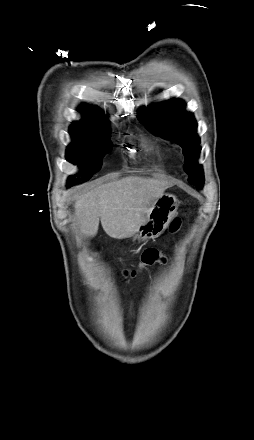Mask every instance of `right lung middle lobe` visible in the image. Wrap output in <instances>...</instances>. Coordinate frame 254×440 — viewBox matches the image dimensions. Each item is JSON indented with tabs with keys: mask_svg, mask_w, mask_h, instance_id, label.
<instances>
[{
	"mask_svg": "<svg viewBox=\"0 0 254 440\" xmlns=\"http://www.w3.org/2000/svg\"><path fill=\"white\" fill-rule=\"evenodd\" d=\"M110 128L105 130H91L70 127L73 143L68 146L66 158L73 164L86 166L88 180L101 166L103 156L111 151ZM75 178L69 179V186L73 185Z\"/></svg>",
	"mask_w": 254,
	"mask_h": 440,
	"instance_id": "1",
	"label": "right lung middle lobe"
}]
</instances>
